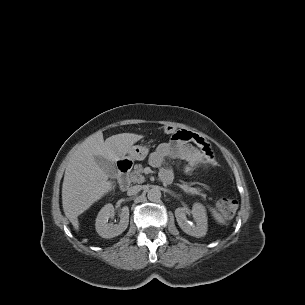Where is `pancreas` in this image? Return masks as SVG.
<instances>
[{
	"label": "pancreas",
	"instance_id": "pancreas-1",
	"mask_svg": "<svg viewBox=\"0 0 305 305\" xmlns=\"http://www.w3.org/2000/svg\"><path fill=\"white\" fill-rule=\"evenodd\" d=\"M143 173V166L141 164H136L134 170L129 174V180L131 183H143L145 181ZM180 188L187 194H201L200 188H192L188 185H179Z\"/></svg>",
	"mask_w": 305,
	"mask_h": 305
}]
</instances>
